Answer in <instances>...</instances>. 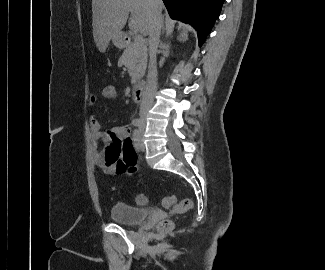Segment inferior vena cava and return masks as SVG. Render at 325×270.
<instances>
[{"mask_svg": "<svg viewBox=\"0 0 325 270\" xmlns=\"http://www.w3.org/2000/svg\"><path fill=\"white\" fill-rule=\"evenodd\" d=\"M148 3L151 9V20L149 29V66L147 83L140 106V117L143 120L153 105L155 93L157 91L156 53L162 27V0H148Z\"/></svg>", "mask_w": 325, "mask_h": 270, "instance_id": "obj_1", "label": "inferior vena cava"}]
</instances>
